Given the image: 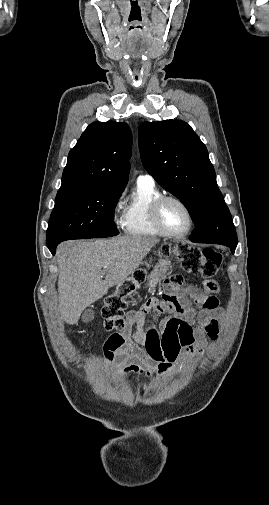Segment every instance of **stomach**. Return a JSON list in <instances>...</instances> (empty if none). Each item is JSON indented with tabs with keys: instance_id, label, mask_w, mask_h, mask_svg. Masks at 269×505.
Returning a JSON list of instances; mask_svg holds the SVG:
<instances>
[{
	"instance_id": "obj_1",
	"label": "stomach",
	"mask_w": 269,
	"mask_h": 505,
	"mask_svg": "<svg viewBox=\"0 0 269 505\" xmlns=\"http://www.w3.org/2000/svg\"><path fill=\"white\" fill-rule=\"evenodd\" d=\"M171 267V262L169 260H160L153 268L148 276L147 284L150 289H155L163 276Z\"/></svg>"
}]
</instances>
